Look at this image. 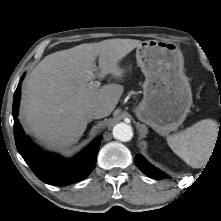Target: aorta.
I'll list each match as a JSON object with an SVG mask.
<instances>
[{
	"label": "aorta",
	"mask_w": 221,
	"mask_h": 221,
	"mask_svg": "<svg viewBox=\"0 0 221 221\" xmlns=\"http://www.w3.org/2000/svg\"><path fill=\"white\" fill-rule=\"evenodd\" d=\"M112 132L115 139L123 142L129 141L133 137L132 127L123 122L116 124Z\"/></svg>",
	"instance_id": "762f6f07"
}]
</instances>
